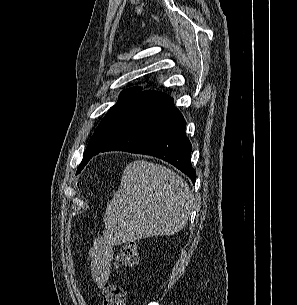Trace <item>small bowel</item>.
Returning a JSON list of instances; mask_svg holds the SVG:
<instances>
[{"instance_id":"c3829d8e","label":"small bowel","mask_w":297,"mask_h":305,"mask_svg":"<svg viewBox=\"0 0 297 305\" xmlns=\"http://www.w3.org/2000/svg\"><path fill=\"white\" fill-rule=\"evenodd\" d=\"M114 247V238L105 234L95 239L88 251V266L93 281L99 289H102L111 277V261Z\"/></svg>"}]
</instances>
